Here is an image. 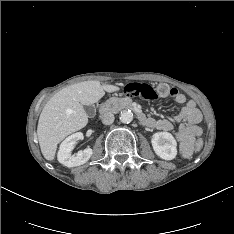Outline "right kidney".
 Listing matches in <instances>:
<instances>
[{
    "label": "right kidney",
    "mask_w": 234,
    "mask_h": 234,
    "mask_svg": "<svg viewBox=\"0 0 234 234\" xmlns=\"http://www.w3.org/2000/svg\"><path fill=\"white\" fill-rule=\"evenodd\" d=\"M83 139L81 132L74 133L67 137L60 145L57 154L58 161L69 168L85 164L93 154L91 148L71 154L79 140Z\"/></svg>",
    "instance_id": "1"
}]
</instances>
